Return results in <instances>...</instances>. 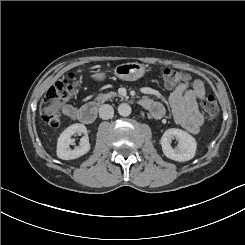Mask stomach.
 Segmentation results:
<instances>
[{
  "mask_svg": "<svg viewBox=\"0 0 245 245\" xmlns=\"http://www.w3.org/2000/svg\"><path fill=\"white\" fill-rule=\"evenodd\" d=\"M113 71L117 78L132 82L143 78L149 69L145 64L139 62H125L116 65ZM90 78L95 82H103L107 76L105 72L101 71L93 73Z\"/></svg>",
  "mask_w": 245,
  "mask_h": 245,
  "instance_id": "obj_1",
  "label": "stomach"
}]
</instances>
